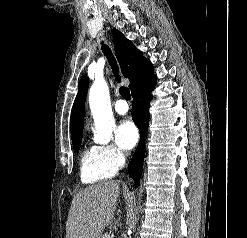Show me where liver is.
I'll return each mask as SVG.
<instances>
[{"mask_svg":"<svg viewBox=\"0 0 247 238\" xmlns=\"http://www.w3.org/2000/svg\"><path fill=\"white\" fill-rule=\"evenodd\" d=\"M119 195V184L107 181L86 187L75 195L68 215L66 238H101L110 223Z\"/></svg>","mask_w":247,"mask_h":238,"instance_id":"obj_1","label":"liver"}]
</instances>
